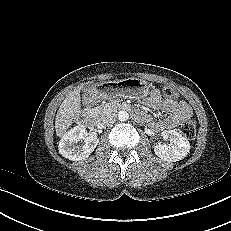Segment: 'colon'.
Returning a JSON list of instances; mask_svg holds the SVG:
<instances>
[{
	"instance_id": "colon-1",
	"label": "colon",
	"mask_w": 231,
	"mask_h": 231,
	"mask_svg": "<svg viewBox=\"0 0 231 231\" xmlns=\"http://www.w3.org/2000/svg\"><path fill=\"white\" fill-rule=\"evenodd\" d=\"M163 95L167 99H176L177 98L176 91L170 86H167L163 89ZM179 130L182 133V135L185 136L186 138L193 139L196 135V122H195V120L191 117L183 120L179 124Z\"/></svg>"
}]
</instances>
